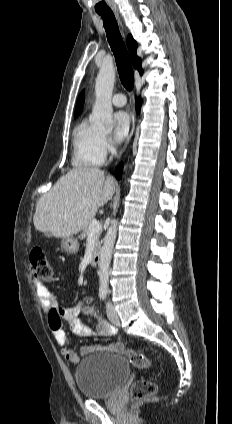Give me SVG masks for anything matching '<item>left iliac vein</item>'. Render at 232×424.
Returning a JSON list of instances; mask_svg holds the SVG:
<instances>
[{
    "mask_svg": "<svg viewBox=\"0 0 232 424\" xmlns=\"http://www.w3.org/2000/svg\"><path fill=\"white\" fill-rule=\"evenodd\" d=\"M107 315L111 322H113L114 324H119L120 320L118 313L110 303H107Z\"/></svg>",
    "mask_w": 232,
    "mask_h": 424,
    "instance_id": "left-iliac-vein-1",
    "label": "left iliac vein"
}]
</instances>
